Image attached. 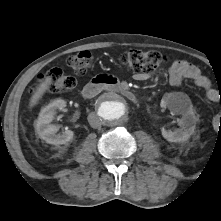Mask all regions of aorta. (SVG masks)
Wrapping results in <instances>:
<instances>
[{
    "instance_id": "762f6f07",
    "label": "aorta",
    "mask_w": 221,
    "mask_h": 221,
    "mask_svg": "<svg viewBox=\"0 0 221 221\" xmlns=\"http://www.w3.org/2000/svg\"><path fill=\"white\" fill-rule=\"evenodd\" d=\"M128 111L127 101L119 94H106L98 101L99 118L108 125L122 123L127 118Z\"/></svg>"
}]
</instances>
